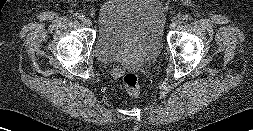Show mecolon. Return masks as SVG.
I'll list each match as a JSON object with an SVG mask.
<instances>
[{"label":"colon","mask_w":253,"mask_h":131,"mask_svg":"<svg viewBox=\"0 0 253 131\" xmlns=\"http://www.w3.org/2000/svg\"><path fill=\"white\" fill-rule=\"evenodd\" d=\"M123 86L126 92L132 96L137 97L140 94L139 78L136 73L128 71L122 78Z\"/></svg>","instance_id":"obj_1"}]
</instances>
